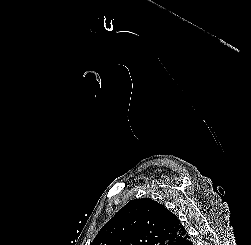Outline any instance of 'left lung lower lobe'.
Returning a JSON list of instances; mask_svg holds the SVG:
<instances>
[{"label":"left lung lower lobe","instance_id":"0a47b994","mask_svg":"<svg viewBox=\"0 0 251 245\" xmlns=\"http://www.w3.org/2000/svg\"><path fill=\"white\" fill-rule=\"evenodd\" d=\"M174 245H193L187 232Z\"/></svg>","mask_w":251,"mask_h":245}]
</instances>
